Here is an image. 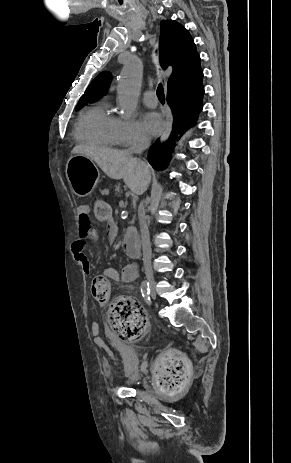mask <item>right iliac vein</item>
I'll return each instance as SVG.
<instances>
[{
    "instance_id": "obj_1",
    "label": "right iliac vein",
    "mask_w": 291,
    "mask_h": 463,
    "mask_svg": "<svg viewBox=\"0 0 291 463\" xmlns=\"http://www.w3.org/2000/svg\"><path fill=\"white\" fill-rule=\"evenodd\" d=\"M149 282H150L151 288H152V290H153L152 295H153V297L155 298V291H154L155 282H154V279H153V278H149Z\"/></svg>"
}]
</instances>
